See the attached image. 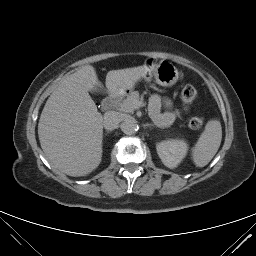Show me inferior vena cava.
<instances>
[{"mask_svg":"<svg viewBox=\"0 0 256 256\" xmlns=\"http://www.w3.org/2000/svg\"><path fill=\"white\" fill-rule=\"evenodd\" d=\"M120 115L118 112L110 111L104 114L103 126L107 131H112L118 127L120 123Z\"/></svg>","mask_w":256,"mask_h":256,"instance_id":"1","label":"inferior vena cava"}]
</instances>
